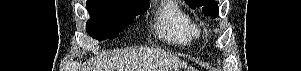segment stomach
I'll return each mask as SVG.
<instances>
[{
	"label": "stomach",
	"mask_w": 301,
	"mask_h": 71,
	"mask_svg": "<svg viewBox=\"0 0 301 71\" xmlns=\"http://www.w3.org/2000/svg\"><path fill=\"white\" fill-rule=\"evenodd\" d=\"M184 69H186V70H181V69H179L178 71H191V70H190L191 68H186V67H185Z\"/></svg>",
	"instance_id": "stomach-1"
}]
</instances>
